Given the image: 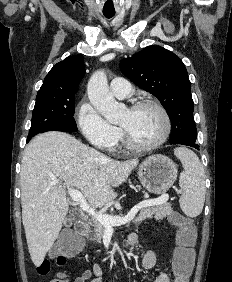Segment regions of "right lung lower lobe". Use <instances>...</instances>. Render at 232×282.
I'll list each match as a JSON object with an SVG mask.
<instances>
[{
  "mask_svg": "<svg viewBox=\"0 0 232 282\" xmlns=\"http://www.w3.org/2000/svg\"><path fill=\"white\" fill-rule=\"evenodd\" d=\"M52 130L64 131V132H72V131H70V130H68V129L61 128V127H57V128L52 129ZM49 131H51V130H49ZM28 141H29V140H27V142H28Z\"/></svg>",
  "mask_w": 232,
  "mask_h": 282,
  "instance_id": "1",
  "label": "right lung lower lobe"
}]
</instances>
